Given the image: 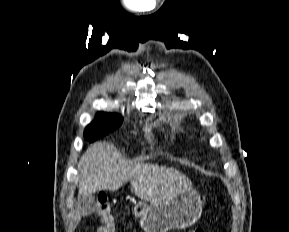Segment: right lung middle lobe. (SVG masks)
I'll return each mask as SVG.
<instances>
[{"label":"right lung middle lobe","mask_w":289,"mask_h":232,"mask_svg":"<svg viewBox=\"0 0 289 232\" xmlns=\"http://www.w3.org/2000/svg\"><path fill=\"white\" fill-rule=\"evenodd\" d=\"M122 121L123 118L119 114L99 112L96 119L86 127L84 137L93 142L117 129Z\"/></svg>","instance_id":"dd1d6c3e"}]
</instances>
